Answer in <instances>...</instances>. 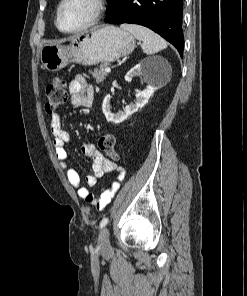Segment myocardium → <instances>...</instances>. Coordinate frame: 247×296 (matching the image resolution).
<instances>
[{
  "instance_id": "f54148a6",
  "label": "myocardium",
  "mask_w": 247,
  "mask_h": 296,
  "mask_svg": "<svg viewBox=\"0 0 247 296\" xmlns=\"http://www.w3.org/2000/svg\"><path fill=\"white\" fill-rule=\"evenodd\" d=\"M68 2V0H61L57 10H56V17H55V24L57 29L65 34H77L80 32H83L89 28H91L92 26H94L95 24H97L99 22V20L101 19L104 10H105V0H91V3L93 4V13L90 17V19L83 24L82 26L75 28V29H71V30H65L60 26V13L61 10L63 8V6Z\"/></svg>"
}]
</instances>
